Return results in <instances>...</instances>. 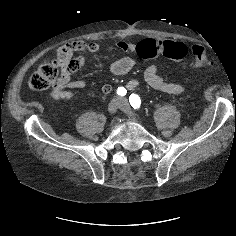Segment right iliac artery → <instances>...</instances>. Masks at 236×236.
Listing matches in <instances>:
<instances>
[{
	"label": "right iliac artery",
	"instance_id": "obj_1",
	"mask_svg": "<svg viewBox=\"0 0 236 236\" xmlns=\"http://www.w3.org/2000/svg\"><path fill=\"white\" fill-rule=\"evenodd\" d=\"M126 93H127V90H126L124 87H118V89H117V94H118L119 96H125Z\"/></svg>",
	"mask_w": 236,
	"mask_h": 236
}]
</instances>
